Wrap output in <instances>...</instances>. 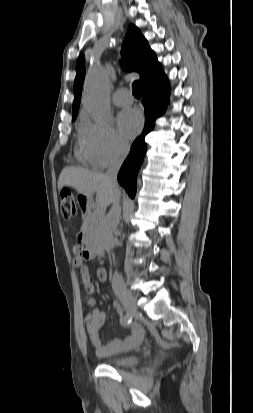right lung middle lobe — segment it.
Instances as JSON below:
<instances>
[{
    "instance_id": "right-lung-middle-lobe-1",
    "label": "right lung middle lobe",
    "mask_w": 253,
    "mask_h": 413,
    "mask_svg": "<svg viewBox=\"0 0 253 413\" xmlns=\"http://www.w3.org/2000/svg\"><path fill=\"white\" fill-rule=\"evenodd\" d=\"M76 118H72V121H74Z\"/></svg>"
}]
</instances>
